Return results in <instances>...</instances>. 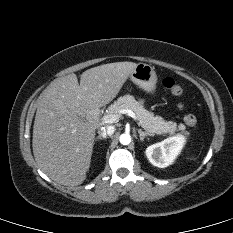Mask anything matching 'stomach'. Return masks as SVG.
I'll return each instance as SVG.
<instances>
[{
  "label": "stomach",
  "mask_w": 233,
  "mask_h": 233,
  "mask_svg": "<svg viewBox=\"0 0 233 233\" xmlns=\"http://www.w3.org/2000/svg\"><path fill=\"white\" fill-rule=\"evenodd\" d=\"M133 83L138 85L148 94H154L156 91L157 75L154 69L145 63H138L133 73L130 75Z\"/></svg>",
  "instance_id": "obj_1"
}]
</instances>
